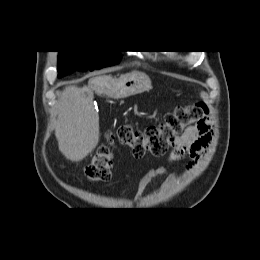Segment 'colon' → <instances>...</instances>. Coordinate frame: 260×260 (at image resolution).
I'll return each mask as SVG.
<instances>
[{
    "label": "colon",
    "instance_id": "colon-1",
    "mask_svg": "<svg viewBox=\"0 0 260 260\" xmlns=\"http://www.w3.org/2000/svg\"><path fill=\"white\" fill-rule=\"evenodd\" d=\"M207 107L198 102L164 115L163 120L143 130L122 124L115 132L107 136V142L101 145L85 168V175L92 182H104L111 177L113 154L111 146L119 143L131 149L134 157L141 158L146 153L161 157L167 153L187 128L205 120Z\"/></svg>",
    "mask_w": 260,
    "mask_h": 260
}]
</instances>
